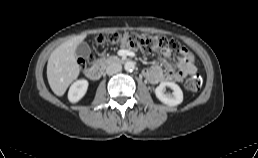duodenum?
<instances>
[{
    "label": "duodenum",
    "instance_id": "1",
    "mask_svg": "<svg viewBox=\"0 0 258 158\" xmlns=\"http://www.w3.org/2000/svg\"><path fill=\"white\" fill-rule=\"evenodd\" d=\"M125 62H128V59L125 57H122V56L112 57L107 60V63H109V64H117V63H125ZM104 67H105L104 63L96 64V65L90 67L86 71L87 77L92 80L98 79L102 75V73L104 71Z\"/></svg>",
    "mask_w": 258,
    "mask_h": 158
}]
</instances>
